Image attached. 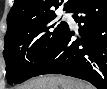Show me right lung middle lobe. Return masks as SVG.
Masks as SVG:
<instances>
[{
    "mask_svg": "<svg viewBox=\"0 0 107 89\" xmlns=\"http://www.w3.org/2000/svg\"><path fill=\"white\" fill-rule=\"evenodd\" d=\"M67 27L68 24L59 22L56 15L9 26L3 52L8 83H22L33 77Z\"/></svg>",
    "mask_w": 107,
    "mask_h": 89,
    "instance_id": "right-lung-middle-lobe-1",
    "label": "right lung middle lobe"
}]
</instances>
